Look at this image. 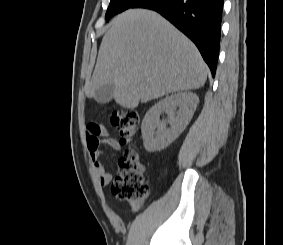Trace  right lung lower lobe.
<instances>
[{
	"label": "right lung lower lobe",
	"mask_w": 283,
	"mask_h": 245,
	"mask_svg": "<svg viewBox=\"0 0 283 245\" xmlns=\"http://www.w3.org/2000/svg\"><path fill=\"white\" fill-rule=\"evenodd\" d=\"M224 0H140L131 8L157 11L198 47L215 76Z\"/></svg>",
	"instance_id": "right-lung-lower-lobe-1"
}]
</instances>
